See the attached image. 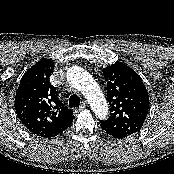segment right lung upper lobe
Here are the masks:
<instances>
[{"mask_svg": "<svg viewBox=\"0 0 174 174\" xmlns=\"http://www.w3.org/2000/svg\"><path fill=\"white\" fill-rule=\"evenodd\" d=\"M54 62L42 59L24 74L15 96V110L26 128L44 138L55 137L73 122V111L59 100L49 82Z\"/></svg>", "mask_w": 174, "mask_h": 174, "instance_id": "right-lung-upper-lobe-1", "label": "right lung upper lobe"}]
</instances>
